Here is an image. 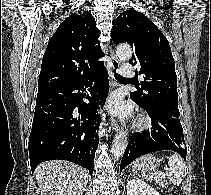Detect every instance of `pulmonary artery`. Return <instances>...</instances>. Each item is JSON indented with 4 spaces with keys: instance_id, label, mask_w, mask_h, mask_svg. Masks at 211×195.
<instances>
[{
    "instance_id": "e3ab8cb5",
    "label": "pulmonary artery",
    "mask_w": 211,
    "mask_h": 195,
    "mask_svg": "<svg viewBox=\"0 0 211 195\" xmlns=\"http://www.w3.org/2000/svg\"><path fill=\"white\" fill-rule=\"evenodd\" d=\"M121 73L124 75V76H127V77H132L134 76L135 74V71H134V68L132 66V64L130 63H125L122 68H121Z\"/></svg>"
}]
</instances>
